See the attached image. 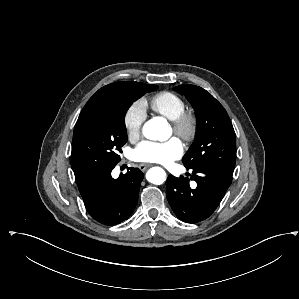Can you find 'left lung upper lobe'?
Wrapping results in <instances>:
<instances>
[{
    "mask_svg": "<svg viewBox=\"0 0 299 299\" xmlns=\"http://www.w3.org/2000/svg\"><path fill=\"white\" fill-rule=\"evenodd\" d=\"M197 116L195 140L183 157L187 169L212 166L233 175L236 161V137L223 106L206 90L195 85H180Z\"/></svg>",
    "mask_w": 299,
    "mask_h": 299,
    "instance_id": "5c2ea615",
    "label": "left lung upper lobe"
}]
</instances>
